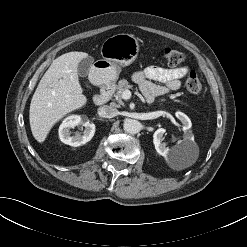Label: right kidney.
<instances>
[{
    "mask_svg": "<svg viewBox=\"0 0 247 247\" xmlns=\"http://www.w3.org/2000/svg\"><path fill=\"white\" fill-rule=\"evenodd\" d=\"M81 126L84 127L83 135L76 134L71 136L70 129ZM95 133V125L91 123L88 119L82 118L79 115H70L66 117L59 127V137L60 140L74 147L83 145L90 141Z\"/></svg>",
    "mask_w": 247,
    "mask_h": 247,
    "instance_id": "ca27d5eb",
    "label": "right kidney"
}]
</instances>
